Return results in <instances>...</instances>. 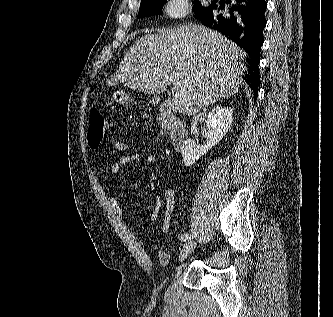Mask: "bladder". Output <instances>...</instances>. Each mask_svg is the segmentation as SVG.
I'll return each instance as SVG.
<instances>
[{"label": "bladder", "instance_id": "obj_1", "mask_svg": "<svg viewBox=\"0 0 333 317\" xmlns=\"http://www.w3.org/2000/svg\"><path fill=\"white\" fill-rule=\"evenodd\" d=\"M157 259L162 268H167L169 266L170 256L166 250L159 249L157 252Z\"/></svg>", "mask_w": 333, "mask_h": 317}]
</instances>
